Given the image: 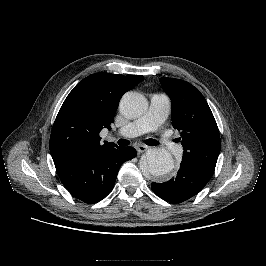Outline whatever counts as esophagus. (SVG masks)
<instances>
[{"label": "esophagus", "mask_w": 266, "mask_h": 266, "mask_svg": "<svg viewBox=\"0 0 266 266\" xmlns=\"http://www.w3.org/2000/svg\"><path fill=\"white\" fill-rule=\"evenodd\" d=\"M135 148L138 153H143L148 149V147L144 145H137Z\"/></svg>", "instance_id": "esophagus-1"}]
</instances>
